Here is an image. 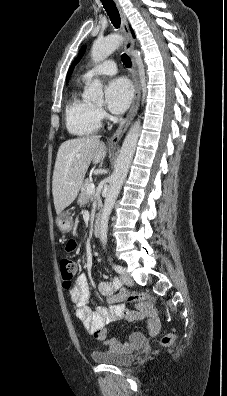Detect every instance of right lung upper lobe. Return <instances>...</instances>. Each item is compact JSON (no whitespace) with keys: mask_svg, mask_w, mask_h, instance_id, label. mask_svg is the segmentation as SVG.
I'll list each match as a JSON object with an SVG mask.
<instances>
[{"mask_svg":"<svg viewBox=\"0 0 227 396\" xmlns=\"http://www.w3.org/2000/svg\"><path fill=\"white\" fill-rule=\"evenodd\" d=\"M131 32H132V34H133V36H134V33H133V30L131 29Z\"/></svg>","mask_w":227,"mask_h":396,"instance_id":"obj_1","label":"right lung upper lobe"}]
</instances>
